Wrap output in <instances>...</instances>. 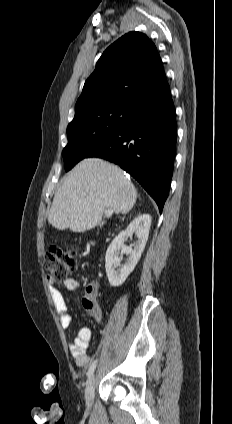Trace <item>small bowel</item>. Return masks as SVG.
Segmentation results:
<instances>
[{"instance_id": "c3829d8e", "label": "small bowel", "mask_w": 232, "mask_h": 424, "mask_svg": "<svg viewBox=\"0 0 232 424\" xmlns=\"http://www.w3.org/2000/svg\"><path fill=\"white\" fill-rule=\"evenodd\" d=\"M65 290L72 292L80 287L79 282L74 278H68L64 281L63 284ZM99 291V286L97 283H92L86 286L85 292L88 299L84 301V307L87 309L88 302H91L94 307V313L91 314L97 321H101L102 312L99 305L94 301V298L97 296ZM50 296L53 302V305L60 316L61 326L68 328L72 322V317L68 313L66 300L63 293L52 287L50 289ZM92 339V331L88 327H83L79 330L78 335L74 339V342L70 345V352L75 359V362L79 366H85L90 361V356L87 353V348Z\"/></svg>"}]
</instances>
